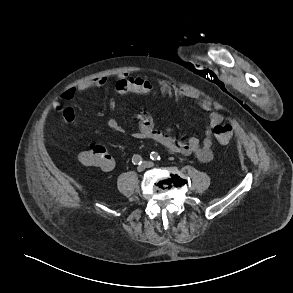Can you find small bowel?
Listing matches in <instances>:
<instances>
[{
  "label": "small bowel",
  "instance_id": "small-bowel-1",
  "mask_svg": "<svg viewBox=\"0 0 293 293\" xmlns=\"http://www.w3.org/2000/svg\"><path fill=\"white\" fill-rule=\"evenodd\" d=\"M106 84L105 78H96L91 81L83 82L79 85L68 88L61 96L63 101L72 100L77 94L86 91L90 88L103 87ZM158 87L164 93L175 99L190 98L195 99L193 93L177 88L166 80H158ZM115 91L119 95H126L128 93H140V94H153L155 88L151 83L141 77H130L128 74H122L118 77L115 83ZM203 110L209 112V123L205 130V134L202 140L196 137H191L185 141H178L173 138L167 130H160L155 127L152 116L143 112L136 118V131L134 137L139 140H150L158 143L165 150L174 154L193 155L200 162L208 163L213 159V139L212 132L215 126L219 125L223 121V117L220 113L211 111L210 107L206 103H200ZM115 107V101L112 100L109 105V109L112 110ZM55 111L62 112L64 119L68 123H74L75 113L71 107L63 106L60 101H56L53 104ZM107 126L114 132L123 133V126L113 117H108L106 120ZM115 166V162L111 159V164L104 171H111Z\"/></svg>",
  "mask_w": 293,
  "mask_h": 293
}]
</instances>
